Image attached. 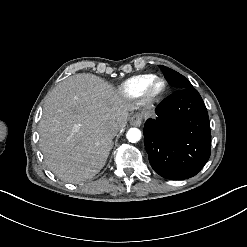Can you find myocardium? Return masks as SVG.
<instances>
[{
  "label": "myocardium",
  "mask_w": 247,
  "mask_h": 247,
  "mask_svg": "<svg viewBox=\"0 0 247 247\" xmlns=\"http://www.w3.org/2000/svg\"><path fill=\"white\" fill-rule=\"evenodd\" d=\"M161 83L162 88L159 91H155V86ZM167 84L163 78L155 77L149 80L143 87L142 95H141V104L142 105H150L159 101L166 93Z\"/></svg>",
  "instance_id": "f54148a6"
}]
</instances>
